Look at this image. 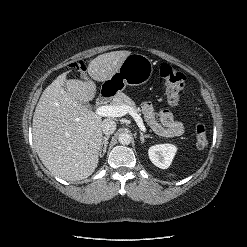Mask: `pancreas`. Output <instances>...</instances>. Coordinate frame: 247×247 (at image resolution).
<instances>
[{
	"label": "pancreas",
	"mask_w": 247,
	"mask_h": 247,
	"mask_svg": "<svg viewBox=\"0 0 247 247\" xmlns=\"http://www.w3.org/2000/svg\"><path fill=\"white\" fill-rule=\"evenodd\" d=\"M112 105L120 106V105H128L132 107L139 115H140V110L136 107L135 103L132 101L131 98H129L127 95L124 93H118L116 96L113 98Z\"/></svg>",
	"instance_id": "1"
}]
</instances>
